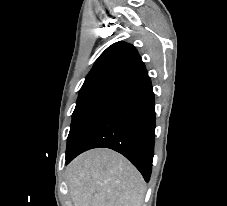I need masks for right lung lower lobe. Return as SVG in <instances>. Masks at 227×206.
<instances>
[{
	"instance_id": "obj_1",
	"label": "right lung lower lobe",
	"mask_w": 227,
	"mask_h": 206,
	"mask_svg": "<svg viewBox=\"0 0 227 206\" xmlns=\"http://www.w3.org/2000/svg\"><path fill=\"white\" fill-rule=\"evenodd\" d=\"M155 99L148 75L129 83L128 89L107 106L87 129L69 164L80 153L98 147L124 155L149 181L155 142Z\"/></svg>"
}]
</instances>
